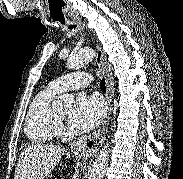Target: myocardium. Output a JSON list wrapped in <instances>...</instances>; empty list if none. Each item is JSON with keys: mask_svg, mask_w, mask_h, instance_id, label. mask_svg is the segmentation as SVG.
I'll list each match as a JSON object with an SVG mask.
<instances>
[{"mask_svg": "<svg viewBox=\"0 0 183 179\" xmlns=\"http://www.w3.org/2000/svg\"><path fill=\"white\" fill-rule=\"evenodd\" d=\"M57 121L58 123H62L63 122V119L57 114Z\"/></svg>", "mask_w": 183, "mask_h": 179, "instance_id": "f54148a6", "label": "myocardium"}]
</instances>
